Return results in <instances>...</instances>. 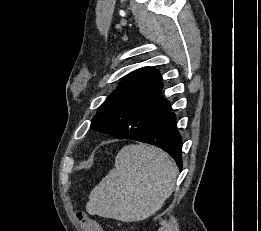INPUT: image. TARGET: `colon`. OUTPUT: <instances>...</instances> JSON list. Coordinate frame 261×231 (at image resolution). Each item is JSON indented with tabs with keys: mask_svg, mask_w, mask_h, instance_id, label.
<instances>
[{
	"mask_svg": "<svg viewBox=\"0 0 261 231\" xmlns=\"http://www.w3.org/2000/svg\"><path fill=\"white\" fill-rule=\"evenodd\" d=\"M77 220L82 223V224H87V218H86V213L83 211H78L76 215Z\"/></svg>",
	"mask_w": 261,
	"mask_h": 231,
	"instance_id": "1",
	"label": "colon"
}]
</instances>
